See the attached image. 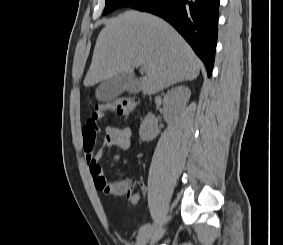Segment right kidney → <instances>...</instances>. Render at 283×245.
I'll return each instance as SVG.
<instances>
[{
	"label": "right kidney",
	"instance_id": "ca27d5eb",
	"mask_svg": "<svg viewBox=\"0 0 283 245\" xmlns=\"http://www.w3.org/2000/svg\"><path fill=\"white\" fill-rule=\"evenodd\" d=\"M191 92L188 87L178 86L164 96L163 105L166 114H172L183 109L189 98ZM159 134L158 122L156 117L152 113H148L142 122L139 135L143 141H151Z\"/></svg>",
	"mask_w": 283,
	"mask_h": 245
}]
</instances>
